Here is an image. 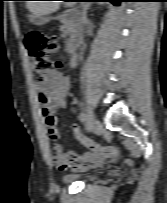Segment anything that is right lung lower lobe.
<instances>
[{"mask_svg":"<svg viewBox=\"0 0 167 203\" xmlns=\"http://www.w3.org/2000/svg\"><path fill=\"white\" fill-rule=\"evenodd\" d=\"M79 1H108L115 5H119L120 2L127 1V0H79Z\"/></svg>","mask_w":167,"mask_h":203,"instance_id":"right-lung-lower-lobe-1","label":"right lung lower lobe"}]
</instances>
